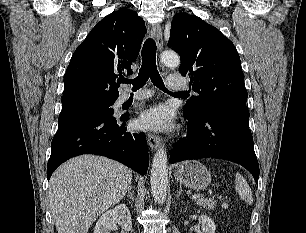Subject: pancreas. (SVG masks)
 <instances>
[{
	"instance_id": "pancreas-1",
	"label": "pancreas",
	"mask_w": 306,
	"mask_h": 233,
	"mask_svg": "<svg viewBox=\"0 0 306 233\" xmlns=\"http://www.w3.org/2000/svg\"><path fill=\"white\" fill-rule=\"evenodd\" d=\"M196 203L201 205L203 208H207L208 210H213L216 207V202L213 199H207L201 196L196 199Z\"/></svg>"
}]
</instances>
